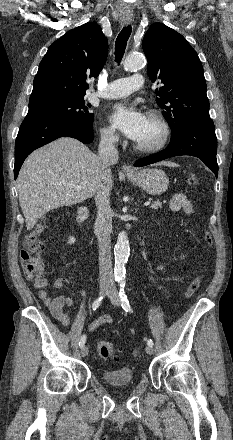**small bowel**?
<instances>
[{"instance_id": "obj_1", "label": "small bowel", "mask_w": 233, "mask_h": 440, "mask_svg": "<svg viewBox=\"0 0 233 440\" xmlns=\"http://www.w3.org/2000/svg\"><path fill=\"white\" fill-rule=\"evenodd\" d=\"M170 208L173 211L183 210L186 214L190 215L193 212V206L191 201L182 193L174 194L170 200ZM186 255H182L181 258H185ZM160 268V267H158ZM36 289H38V297L44 302V304L50 310L52 316L59 321L63 326H69L70 319L64 310L65 306L72 307L74 304L73 299L66 298L62 295L51 297L47 292V281L43 286L38 283H34ZM64 286V282L61 279H56L53 282V287L56 289H61ZM113 319L110 315L105 314L94 321H92L88 329L89 331H94L99 327L112 323Z\"/></svg>"}]
</instances>
